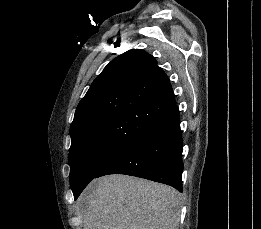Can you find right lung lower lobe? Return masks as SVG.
<instances>
[{
  "instance_id": "right-lung-lower-lobe-1",
  "label": "right lung lower lobe",
  "mask_w": 261,
  "mask_h": 229,
  "mask_svg": "<svg viewBox=\"0 0 261 229\" xmlns=\"http://www.w3.org/2000/svg\"><path fill=\"white\" fill-rule=\"evenodd\" d=\"M182 134L177 107L99 172L126 174L164 183L182 191Z\"/></svg>"
}]
</instances>
